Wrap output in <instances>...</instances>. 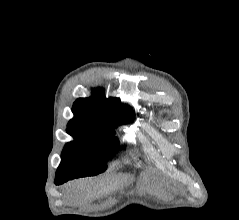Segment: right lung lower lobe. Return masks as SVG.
<instances>
[{"mask_svg":"<svg viewBox=\"0 0 239 220\" xmlns=\"http://www.w3.org/2000/svg\"><path fill=\"white\" fill-rule=\"evenodd\" d=\"M54 183H55V181H54ZM56 185H59V183H55Z\"/></svg>","mask_w":239,"mask_h":220,"instance_id":"obj_1","label":"right lung lower lobe"}]
</instances>
